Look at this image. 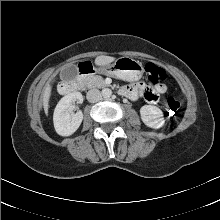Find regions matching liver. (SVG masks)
<instances>
[{
    "label": "liver",
    "mask_w": 220,
    "mask_h": 220,
    "mask_svg": "<svg viewBox=\"0 0 220 220\" xmlns=\"http://www.w3.org/2000/svg\"><path fill=\"white\" fill-rule=\"evenodd\" d=\"M115 60L114 57L111 56H105V55H100L97 56L95 59V65L97 66H105L108 65L110 63H112ZM51 95V85L47 84L44 88V92H43V108H44V112L46 115H48V108H49V98Z\"/></svg>",
    "instance_id": "6515ba94"
}]
</instances>
